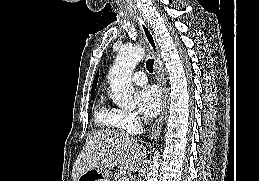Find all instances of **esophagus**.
<instances>
[{"label": "esophagus", "mask_w": 259, "mask_h": 181, "mask_svg": "<svg viewBox=\"0 0 259 181\" xmlns=\"http://www.w3.org/2000/svg\"><path fill=\"white\" fill-rule=\"evenodd\" d=\"M136 19L138 21V24L140 25L141 31L150 47L153 57L155 59V71H156V75L158 77L159 84L161 86L162 93H163L162 112H161V115L158 118V120L154 123L150 136H149L150 140H154L158 137V135L161 131V127H162L164 116H165V109H166V104H167L166 79H165L164 70H163V63H162V60L160 57L159 47H158L157 41L155 39V36H154L153 32L151 31L149 24L145 21L144 17L137 15Z\"/></svg>", "instance_id": "1"}]
</instances>
